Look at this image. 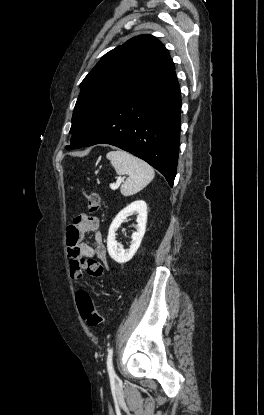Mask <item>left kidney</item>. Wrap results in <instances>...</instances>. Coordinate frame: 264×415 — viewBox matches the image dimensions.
I'll list each match as a JSON object with an SVG mask.
<instances>
[{
  "label": "left kidney",
  "mask_w": 264,
  "mask_h": 415,
  "mask_svg": "<svg viewBox=\"0 0 264 415\" xmlns=\"http://www.w3.org/2000/svg\"><path fill=\"white\" fill-rule=\"evenodd\" d=\"M137 213L136 232L132 234V242L129 249L124 250L116 241V231L120 225L134 213ZM147 223V205L143 200H137L121 210L110 225L107 237V249L110 257L118 263H126L137 252L145 234Z\"/></svg>",
  "instance_id": "5707ae66"
}]
</instances>
